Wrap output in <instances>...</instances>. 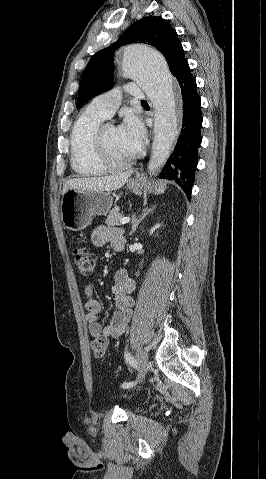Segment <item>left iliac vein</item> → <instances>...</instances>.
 I'll return each mask as SVG.
<instances>
[{"label": "left iliac vein", "mask_w": 266, "mask_h": 479, "mask_svg": "<svg viewBox=\"0 0 266 479\" xmlns=\"http://www.w3.org/2000/svg\"><path fill=\"white\" fill-rule=\"evenodd\" d=\"M137 359H138L139 368H138V377H137L136 383L140 382L144 378L147 372V368H148L147 352L144 349H139L137 353Z\"/></svg>", "instance_id": "4c4485c4"}]
</instances>
